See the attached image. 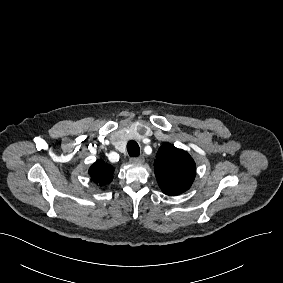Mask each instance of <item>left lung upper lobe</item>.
I'll return each mask as SVG.
<instances>
[{
  "instance_id": "left-lung-upper-lobe-1",
  "label": "left lung upper lobe",
  "mask_w": 283,
  "mask_h": 283,
  "mask_svg": "<svg viewBox=\"0 0 283 283\" xmlns=\"http://www.w3.org/2000/svg\"><path fill=\"white\" fill-rule=\"evenodd\" d=\"M154 172L162 192L174 196L191 187L196 176V165L186 151L165 143L157 152Z\"/></svg>"
}]
</instances>
